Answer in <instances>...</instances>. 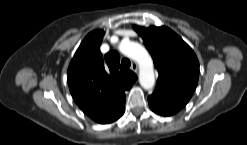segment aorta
I'll return each instance as SVG.
<instances>
[{
	"instance_id": "1",
	"label": "aorta",
	"mask_w": 247,
	"mask_h": 145,
	"mask_svg": "<svg viewBox=\"0 0 247 145\" xmlns=\"http://www.w3.org/2000/svg\"><path fill=\"white\" fill-rule=\"evenodd\" d=\"M120 50L139 64L140 85L146 90L151 89L155 83V76L153 61L148 51L142 45L131 41L123 42Z\"/></svg>"
}]
</instances>
